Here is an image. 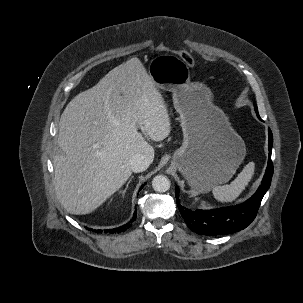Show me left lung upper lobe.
<instances>
[{
	"label": "left lung upper lobe",
	"mask_w": 303,
	"mask_h": 303,
	"mask_svg": "<svg viewBox=\"0 0 303 303\" xmlns=\"http://www.w3.org/2000/svg\"><path fill=\"white\" fill-rule=\"evenodd\" d=\"M255 111L258 113L257 106H255Z\"/></svg>",
	"instance_id": "left-lung-upper-lobe-1"
}]
</instances>
